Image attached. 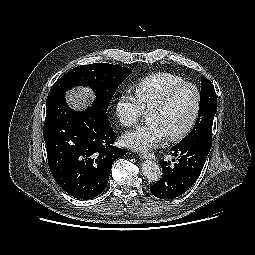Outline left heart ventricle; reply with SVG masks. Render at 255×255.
Masks as SVG:
<instances>
[{
    "label": "left heart ventricle",
    "mask_w": 255,
    "mask_h": 255,
    "mask_svg": "<svg viewBox=\"0 0 255 255\" xmlns=\"http://www.w3.org/2000/svg\"><path fill=\"white\" fill-rule=\"evenodd\" d=\"M196 93L190 87L178 90L167 106L147 114L148 123H157L166 136L178 134L189 123L194 112Z\"/></svg>",
    "instance_id": "b2bd125f"
}]
</instances>
